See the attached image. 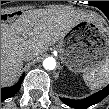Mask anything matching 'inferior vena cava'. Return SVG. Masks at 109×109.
I'll return each mask as SVG.
<instances>
[{
  "instance_id": "inferior-vena-cava-1",
  "label": "inferior vena cava",
  "mask_w": 109,
  "mask_h": 109,
  "mask_svg": "<svg viewBox=\"0 0 109 109\" xmlns=\"http://www.w3.org/2000/svg\"><path fill=\"white\" fill-rule=\"evenodd\" d=\"M33 58H34V55L31 53H23L22 54V59L24 61H29V60H32Z\"/></svg>"
}]
</instances>
